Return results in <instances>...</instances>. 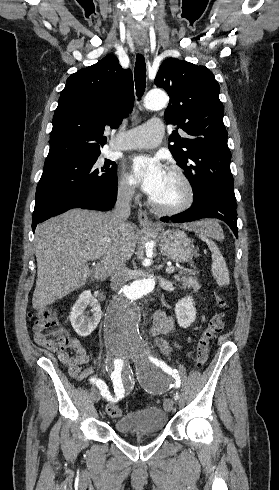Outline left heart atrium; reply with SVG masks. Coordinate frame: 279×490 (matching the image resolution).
I'll list each match as a JSON object with an SVG mask.
<instances>
[{"instance_id":"39dd6f15","label":"left heart atrium","mask_w":279,"mask_h":490,"mask_svg":"<svg viewBox=\"0 0 279 490\" xmlns=\"http://www.w3.org/2000/svg\"><path fill=\"white\" fill-rule=\"evenodd\" d=\"M167 171L157 157L138 156L132 160L130 179L150 198H158L166 184Z\"/></svg>"}]
</instances>
